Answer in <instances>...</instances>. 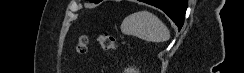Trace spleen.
<instances>
[{
	"label": "spleen",
	"instance_id": "3e777b00",
	"mask_svg": "<svg viewBox=\"0 0 244 73\" xmlns=\"http://www.w3.org/2000/svg\"><path fill=\"white\" fill-rule=\"evenodd\" d=\"M121 31L125 35L153 43L165 42L170 38L167 26L156 15L148 11L127 16L121 24Z\"/></svg>",
	"mask_w": 244,
	"mask_h": 73
}]
</instances>
